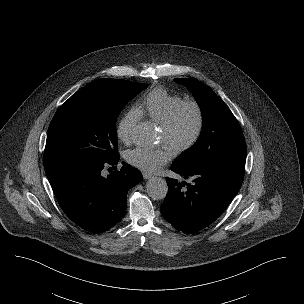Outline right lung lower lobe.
Instances as JSON below:
<instances>
[{"mask_svg":"<svg viewBox=\"0 0 304 304\" xmlns=\"http://www.w3.org/2000/svg\"><path fill=\"white\" fill-rule=\"evenodd\" d=\"M119 158L45 168L60 207L87 231L101 233L117 224L126 212L128 190L142 180L141 173L125 162L104 177L103 168L116 165Z\"/></svg>","mask_w":304,"mask_h":304,"instance_id":"1","label":"right lung lower lobe"}]
</instances>
